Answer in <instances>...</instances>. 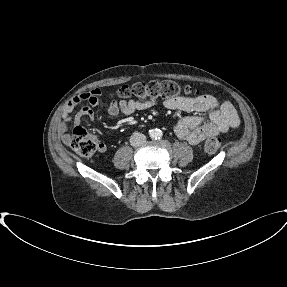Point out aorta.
Masks as SVG:
<instances>
[{"instance_id": "762f6f07", "label": "aorta", "mask_w": 287, "mask_h": 287, "mask_svg": "<svg viewBox=\"0 0 287 287\" xmlns=\"http://www.w3.org/2000/svg\"><path fill=\"white\" fill-rule=\"evenodd\" d=\"M150 136L152 138H160L162 136V132L159 129H154L150 132Z\"/></svg>"}]
</instances>
